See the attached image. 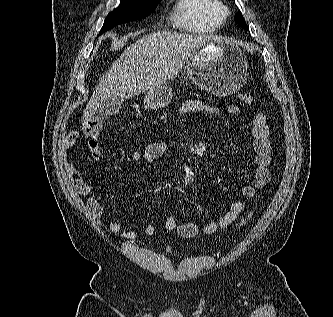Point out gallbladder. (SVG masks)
Here are the masks:
<instances>
[{
  "instance_id": "gallbladder-1",
  "label": "gallbladder",
  "mask_w": 333,
  "mask_h": 317,
  "mask_svg": "<svg viewBox=\"0 0 333 317\" xmlns=\"http://www.w3.org/2000/svg\"><path fill=\"white\" fill-rule=\"evenodd\" d=\"M123 104V99L121 97H110L105 99L99 106L97 110V115L102 117H107L115 115L119 112Z\"/></svg>"
}]
</instances>
